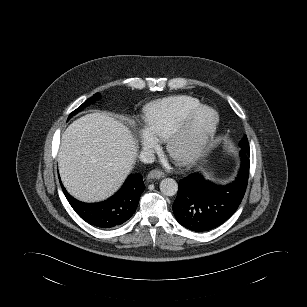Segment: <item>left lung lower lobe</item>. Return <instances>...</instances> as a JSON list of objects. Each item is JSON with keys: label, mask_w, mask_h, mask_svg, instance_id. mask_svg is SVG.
<instances>
[{"label": "left lung lower lobe", "mask_w": 307, "mask_h": 307, "mask_svg": "<svg viewBox=\"0 0 307 307\" xmlns=\"http://www.w3.org/2000/svg\"><path fill=\"white\" fill-rule=\"evenodd\" d=\"M248 156L241 154L239 174L226 186L206 181L198 173L181 180L173 204L177 221L189 230L204 232L228 220L237 210L246 191L250 167Z\"/></svg>", "instance_id": "obj_1"}]
</instances>
